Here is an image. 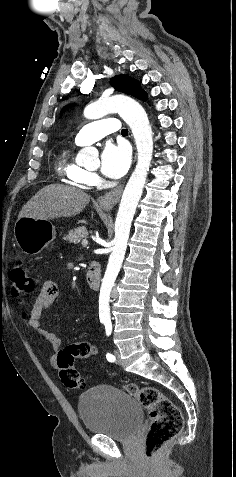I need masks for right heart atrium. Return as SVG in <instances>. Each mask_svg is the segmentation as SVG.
<instances>
[{"mask_svg":"<svg viewBox=\"0 0 236 477\" xmlns=\"http://www.w3.org/2000/svg\"><path fill=\"white\" fill-rule=\"evenodd\" d=\"M96 180V177L94 175H91V182H94Z\"/></svg>","mask_w":236,"mask_h":477,"instance_id":"d8ad5b80","label":"right heart atrium"}]
</instances>
